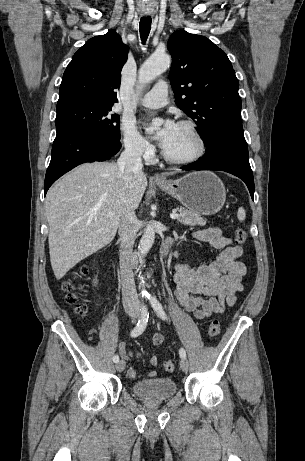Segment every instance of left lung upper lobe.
Here are the masks:
<instances>
[{"label": "left lung upper lobe", "instance_id": "left-lung-upper-lobe-1", "mask_svg": "<svg viewBox=\"0 0 305 461\" xmlns=\"http://www.w3.org/2000/svg\"><path fill=\"white\" fill-rule=\"evenodd\" d=\"M167 46L172 55L169 79L175 103L197 124L207 144L220 124L241 120L235 71L224 51L204 36L179 30Z\"/></svg>", "mask_w": 305, "mask_h": 461}]
</instances>
